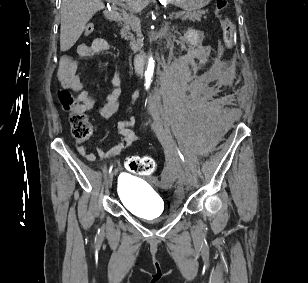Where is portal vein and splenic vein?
<instances>
[{"mask_svg":"<svg viewBox=\"0 0 308 283\" xmlns=\"http://www.w3.org/2000/svg\"><path fill=\"white\" fill-rule=\"evenodd\" d=\"M111 3H117L118 5L122 6V7H126V5L123 3L124 0H107ZM129 7H131L133 10H135V6L132 5V4H128ZM185 13L184 12H179V13H172L170 14V17H173V16H176V17H181V16H184Z\"/></svg>","mask_w":308,"mask_h":283,"instance_id":"1","label":"portal vein and splenic vein"}]
</instances>
